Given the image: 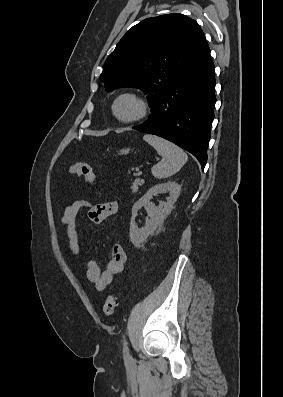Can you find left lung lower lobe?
<instances>
[{"instance_id": "left-lung-lower-lobe-1", "label": "left lung lower lobe", "mask_w": 283, "mask_h": 397, "mask_svg": "<svg viewBox=\"0 0 283 397\" xmlns=\"http://www.w3.org/2000/svg\"><path fill=\"white\" fill-rule=\"evenodd\" d=\"M214 70L209 53L161 96L148 120L133 129L175 143L193 154L204 169L216 103Z\"/></svg>"}]
</instances>
